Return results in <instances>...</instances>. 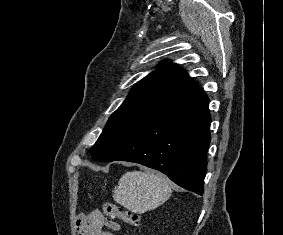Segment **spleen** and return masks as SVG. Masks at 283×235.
I'll list each match as a JSON object with an SVG mask.
<instances>
[{
	"instance_id": "3e777b00",
	"label": "spleen",
	"mask_w": 283,
	"mask_h": 235,
	"mask_svg": "<svg viewBox=\"0 0 283 235\" xmlns=\"http://www.w3.org/2000/svg\"><path fill=\"white\" fill-rule=\"evenodd\" d=\"M172 182L162 174L132 171L125 173L113 190V199L128 210L142 214L166 202Z\"/></svg>"
}]
</instances>
